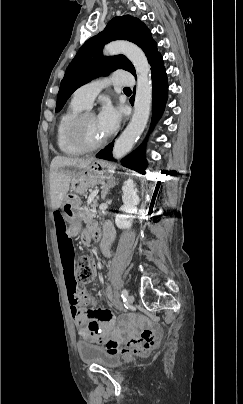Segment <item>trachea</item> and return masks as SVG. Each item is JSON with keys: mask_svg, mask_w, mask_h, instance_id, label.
Here are the masks:
<instances>
[{"mask_svg": "<svg viewBox=\"0 0 243 404\" xmlns=\"http://www.w3.org/2000/svg\"><path fill=\"white\" fill-rule=\"evenodd\" d=\"M125 90H129V91H130L129 87H125Z\"/></svg>", "mask_w": 243, "mask_h": 404, "instance_id": "3493384b", "label": "trachea"}]
</instances>
